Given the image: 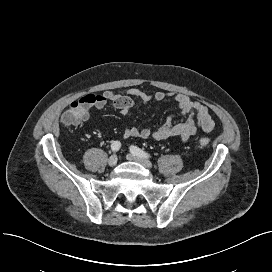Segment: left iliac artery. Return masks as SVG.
I'll return each mask as SVG.
<instances>
[{
	"mask_svg": "<svg viewBox=\"0 0 272 272\" xmlns=\"http://www.w3.org/2000/svg\"><path fill=\"white\" fill-rule=\"evenodd\" d=\"M130 151L132 152V154H134L136 156H139V157H142V158H151L149 153L141 150L137 146H131Z\"/></svg>",
	"mask_w": 272,
	"mask_h": 272,
	"instance_id": "1",
	"label": "left iliac artery"
}]
</instances>
